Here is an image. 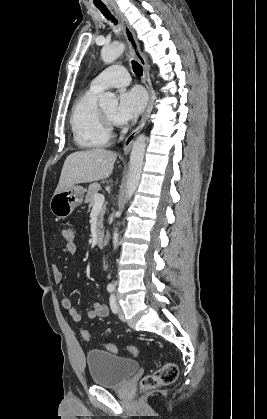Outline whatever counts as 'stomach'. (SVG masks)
Listing matches in <instances>:
<instances>
[{
    "label": "stomach",
    "instance_id": "obj_1",
    "mask_svg": "<svg viewBox=\"0 0 267 419\" xmlns=\"http://www.w3.org/2000/svg\"><path fill=\"white\" fill-rule=\"evenodd\" d=\"M85 189L80 185H73L65 191L54 193L50 200V210L58 218L68 217L73 210L80 206L84 199Z\"/></svg>",
    "mask_w": 267,
    "mask_h": 419
}]
</instances>
